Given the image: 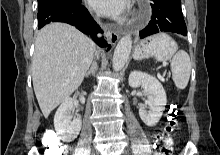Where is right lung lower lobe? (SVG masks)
<instances>
[{"instance_id":"right-lung-lower-lobe-1","label":"right lung lower lobe","mask_w":220,"mask_h":155,"mask_svg":"<svg viewBox=\"0 0 220 155\" xmlns=\"http://www.w3.org/2000/svg\"><path fill=\"white\" fill-rule=\"evenodd\" d=\"M38 29L50 22H65L75 26L85 34L91 35L93 40L107 51L111 45L102 38H97L96 34L102 32L99 25L93 20L88 10L81 4H57L38 10Z\"/></svg>"}]
</instances>
